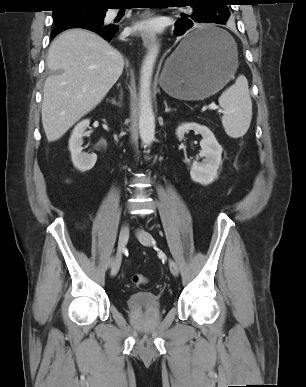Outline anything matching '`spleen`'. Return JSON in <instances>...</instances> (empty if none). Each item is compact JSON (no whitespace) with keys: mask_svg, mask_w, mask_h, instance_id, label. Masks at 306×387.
I'll use <instances>...</instances> for the list:
<instances>
[{"mask_svg":"<svg viewBox=\"0 0 306 387\" xmlns=\"http://www.w3.org/2000/svg\"><path fill=\"white\" fill-rule=\"evenodd\" d=\"M219 104L224 110L221 120L226 134L232 138L242 137L252 119V101L245 76L239 75L235 83L221 94Z\"/></svg>","mask_w":306,"mask_h":387,"instance_id":"3e777b00","label":"spleen"}]
</instances>
